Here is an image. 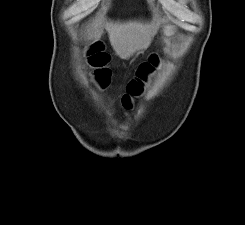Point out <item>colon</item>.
<instances>
[{
    "label": "colon",
    "instance_id": "1",
    "mask_svg": "<svg viewBox=\"0 0 245 225\" xmlns=\"http://www.w3.org/2000/svg\"><path fill=\"white\" fill-rule=\"evenodd\" d=\"M91 54H93L94 56H97V61H96V66H103L105 61L103 59L104 52H103V46L101 44H97L95 46L92 47ZM149 63H143L139 66V68L137 69V77L135 79H132L127 87V92L129 94H135L139 91V82L137 81L140 78H143L145 76V74L147 73L148 69H149ZM100 78L102 79V84L106 85L108 83V78H109V71L106 69H103L100 72Z\"/></svg>",
    "mask_w": 245,
    "mask_h": 225
}]
</instances>
